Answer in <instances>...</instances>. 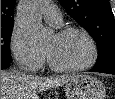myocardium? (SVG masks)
<instances>
[{
	"label": "myocardium",
	"instance_id": "1",
	"mask_svg": "<svg viewBox=\"0 0 115 99\" xmlns=\"http://www.w3.org/2000/svg\"><path fill=\"white\" fill-rule=\"evenodd\" d=\"M74 33L82 35L87 40L90 47L89 59L85 63L76 66H60L55 64L49 55L45 53L47 63L52 70L56 72H79L91 68L96 63L98 58V47L89 32L82 28L69 27L58 31L56 35L61 37Z\"/></svg>",
	"mask_w": 115,
	"mask_h": 99
}]
</instances>
